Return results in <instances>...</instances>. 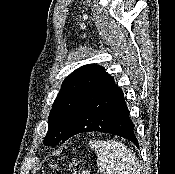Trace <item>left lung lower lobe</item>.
Instances as JSON below:
<instances>
[{"label": "left lung lower lobe", "instance_id": "obj_1", "mask_svg": "<svg viewBox=\"0 0 175 174\" xmlns=\"http://www.w3.org/2000/svg\"><path fill=\"white\" fill-rule=\"evenodd\" d=\"M92 131L121 136L139 147L124 93L111 76L78 102L67 124L62 143L73 135Z\"/></svg>", "mask_w": 175, "mask_h": 174}]
</instances>
